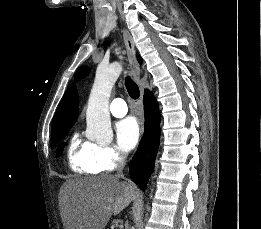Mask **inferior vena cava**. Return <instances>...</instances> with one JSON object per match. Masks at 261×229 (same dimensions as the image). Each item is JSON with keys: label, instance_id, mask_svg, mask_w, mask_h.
<instances>
[{"label": "inferior vena cava", "instance_id": "inferior-vena-cava-1", "mask_svg": "<svg viewBox=\"0 0 261 229\" xmlns=\"http://www.w3.org/2000/svg\"><path fill=\"white\" fill-rule=\"evenodd\" d=\"M124 167H125L124 159H119V161H117V169H118L119 175H116V177H122L121 173H122Z\"/></svg>", "mask_w": 261, "mask_h": 229}]
</instances>
